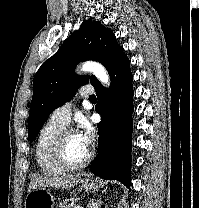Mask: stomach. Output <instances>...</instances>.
I'll list each match as a JSON object with an SVG mask.
<instances>
[{
    "mask_svg": "<svg viewBox=\"0 0 199 208\" xmlns=\"http://www.w3.org/2000/svg\"><path fill=\"white\" fill-rule=\"evenodd\" d=\"M81 187L87 192H95L99 188L98 181L85 178L81 181ZM54 196L46 188H37L31 191L25 198V208H53Z\"/></svg>",
    "mask_w": 199,
    "mask_h": 208,
    "instance_id": "obj_1",
    "label": "stomach"
}]
</instances>
